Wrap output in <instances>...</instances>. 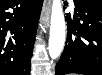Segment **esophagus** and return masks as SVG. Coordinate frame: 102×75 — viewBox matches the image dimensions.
<instances>
[{
    "label": "esophagus",
    "instance_id": "1",
    "mask_svg": "<svg viewBox=\"0 0 102 75\" xmlns=\"http://www.w3.org/2000/svg\"><path fill=\"white\" fill-rule=\"evenodd\" d=\"M51 0H44L41 13V22L43 27L48 28L50 23Z\"/></svg>",
    "mask_w": 102,
    "mask_h": 75
}]
</instances>
